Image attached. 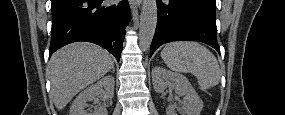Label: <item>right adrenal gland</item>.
I'll use <instances>...</instances> for the list:
<instances>
[{
    "label": "right adrenal gland",
    "instance_id": "obj_1",
    "mask_svg": "<svg viewBox=\"0 0 285 115\" xmlns=\"http://www.w3.org/2000/svg\"><path fill=\"white\" fill-rule=\"evenodd\" d=\"M111 69H112V72H115V69H114V64H112V67H111Z\"/></svg>",
    "mask_w": 285,
    "mask_h": 115
}]
</instances>
